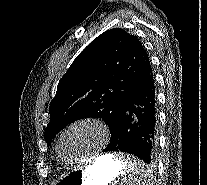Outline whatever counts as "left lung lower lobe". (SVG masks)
<instances>
[{
	"label": "left lung lower lobe",
	"instance_id": "obj_1",
	"mask_svg": "<svg viewBox=\"0 0 207 185\" xmlns=\"http://www.w3.org/2000/svg\"><path fill=\"white\" fill-rule=\"evenodd\" d=\"M153 72L141 81L122 104L103 150L126 152L150 163L156 151V99Z\"/></svg>",
	"mask_w": 207,
	"mask_h": 185
}]
</instances>
